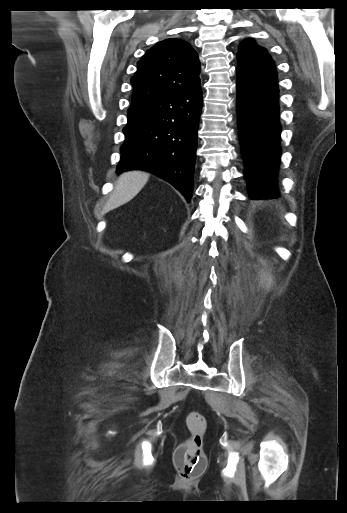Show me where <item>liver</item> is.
Returning <instances> with one entry per match:
<instances>
[{"instance_id": "obj_1", "label": "liver", "mask_w": 347, "mask_h": 513, "mask_svg": "<svg viewBox=\"0 0 347 513\" xmlns=\"http://www.w3.org/2000/svg\"><path fill=\"white\" fill-rule=\"evenodd\" d=\"M148 179L149 174L140 170L122 173L117 180L112 196L104 207V212L128 203L141 191Z\"/></svg>"}]
</instances>
